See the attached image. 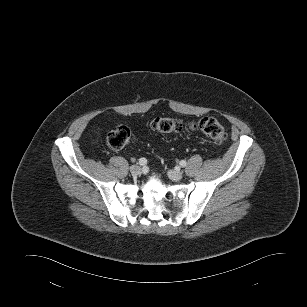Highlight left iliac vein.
Here are the masks:
<instances>
[{
    "instance_id": "4c4485c4",
    "label": "left iliac vein",
    "mask_w": 307,
    "mask_h": 307,
    "mask_svg": "<svg viewBox=\"0 0 307 307\" xmlns=\"http://www.w3.org/2000/svg\"><path fill=\"white\" fill-rule=\"evenodd\" d=\"M168 176L170 179L174 181H179L182 179L183 173L180 170H169Z\"/></svg>"
}]
</instances>
